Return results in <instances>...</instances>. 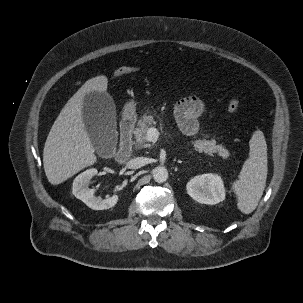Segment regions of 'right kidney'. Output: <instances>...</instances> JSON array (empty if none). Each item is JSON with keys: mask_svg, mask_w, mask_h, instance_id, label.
I'll return each instance as SVG.
<instances>
[{"mask_svg": "<svg viewBox=\"0 0 303 303\" xmlns=\"http://www.w3.org/2000/svg\"><path fill=\"white\" fill-rule=\"evenodd\" d=\"M98 173L97 169H88L79 174L73 181V195L83 201L89 208L94 210H105L116 205L118 196L101 199L94 196V189L88 188L92 177Z\"/></svg>", "mask_w": 303, "mask_h": 303, "instance_id": "ca27d5eb", "label": "right kidney"}]
</instances>
